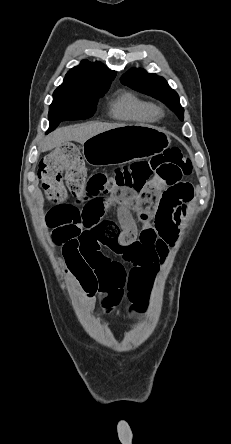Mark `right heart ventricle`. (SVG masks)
<instances>
[{
	"label": "right heart ventricle",
	"mask_w": 231,
	"mask_h": 444,
	"mask_svg": "<svg viewBox=\"0 0 231 444\" xmlns=\"http://www.w3.org/2000/svg\"><path fill=\"white\" fill-rule=\"evenodd\" d=\"M111 115L118 120L153 122L158 118L159 110L151 101L126 91L112 102Z\"/></svg>",
	"instance_id": "right-heart-ventricle-1"
}]
</instances>
